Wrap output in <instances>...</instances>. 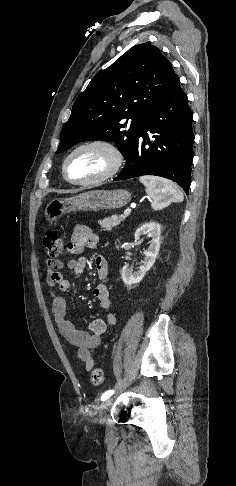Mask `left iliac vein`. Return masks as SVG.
Listing matches in <instances>:
<instances>
[{"label":"left iliac vein","instance_id":"left-iliac-vein-1","mask_svg":"<svg viewBox=\"0 0 236 486\" xmlns=\"http://www.w3.org/2000/svg\"><path fill=\"white\" fill-rule=\"evenodd\" d=\"M112 404V400L111 399H107L105 400L99 407V412H100V415H104L106 413V411L108 410V408L111 406Z\"/></svg>","mask_w":236,"mask_h":486}]
</instances>
